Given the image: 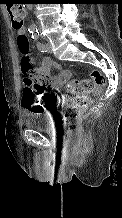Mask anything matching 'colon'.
Masks as SVG:
<instances>
[{
  "instance_id": "1",
  "label": "colon",
  "mask_w": 122,
  "mask_h": 218,
  "mask_svg": "<svg viewBox=\"0 0 122 218\" xmlns=\"http://www.w3.org/2000/svg\"><path fill=\"white\" fill-rule=\"evenodd\" d=\"M7 7L13 28L20 30L23 27L24 20L23 6L16 1L10 0ZM16 43L21 59L22 80L25 85L23 104L31 112H40L42 109L36 99L38 96L45 94L46 88L37 84L32 77L29 39L25 34L18 33ZM89 76L90 79H72L66 82L67 92L73 95L72 100L63 110L64 124L68 132L75 129L81 115L89 108L91 94L100 92L106 87L107 80L99 70H91Z\"/></svg>"
}]
</instances>
